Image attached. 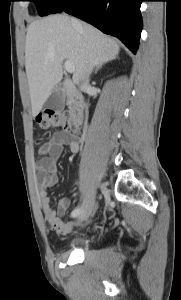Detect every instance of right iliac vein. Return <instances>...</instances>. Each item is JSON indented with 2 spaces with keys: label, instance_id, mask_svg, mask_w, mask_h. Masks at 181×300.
<instances>
[{
  "label": "right iliac vein",
  "instance_id": "63e3f726",
  "mask_svg": "<svg viewBox=\"0 0 181 300\" xmlns=\"http://www.w3.org/2000/svg\"><path fill=\"white\" fill-rule=\"evenodd\" d=\"M96 209L95 206V195L94 192H91L89 195L88 203L84 210L80 213L79 219L80 220H85L87 219Z\"/></svg>",
  "mask_w": 181,
  "mask_h": 300
}]
</instances>
